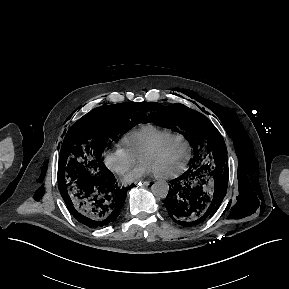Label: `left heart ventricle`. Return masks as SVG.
<instances>
[{"label":"left heart ventricle","mask_w":289,"mask_h":289,"mask_svg":"<svg viewBox=\"0 0 289 289\" xmlns=\"http://www.w3.org/2000/svg\"><path fill=\"white\" fill-rule=\"evenodd\" d=\"M187 157V146L179 138H172L164 142L157 151L143 157L155 174H165L179 169Z\"/></svg>","instance_id":"obj_1"}]
</instances>
